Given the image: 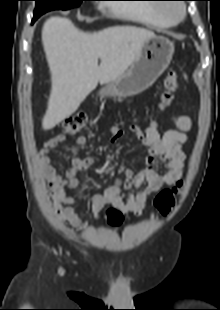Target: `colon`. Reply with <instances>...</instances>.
<instances>
[{
  "label": "colon",
  "mask_w": 220,
  "mask_h": 310,
  "mask_svg": "<svg viewBox=\"0 0 220 310\" xmlns=\"http://www.w3.org/2000/svg\"><path fill=\"white\" fill-rule=\"evenodd\" d=\"M164 89L160 97V106L166 107L172 101L175 92L179 87V75L174 70H169L164 76ZM86 124V116L83 113H74L65 117L62 121V127L67 134L78 133ZM59 187L58 184L52 182L51 191L54 192ZM182 187L181 182L169 189H163L155 198L154 206L156 211L166 216L175 204V200L180 193ZM107 218L110 225L118 227L122 224L123 215L117 208L107 210Z\"/></svg>",
  "instance_id": "5ec220e1"
}]
</instances>
